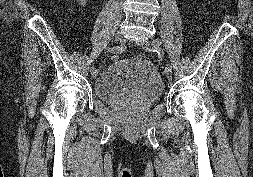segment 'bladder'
<instances>
[{
    "label": "bladder",
    "instance_id": "1",
    "mask_svg": "<svg viewBox=\"0 0 253 177\" xmlns=\"http://www.w3.org/2000/svg\"><path fill=\"white\" fill-rule=\"evenodd\" d=\"M93 91L104 102L133 99L150 105L161 97L163 81L152 63L120 58L101 71Z\"/></svg>",
    "mask_w": 253,
    "mask_h": 177
}]
</instances>
